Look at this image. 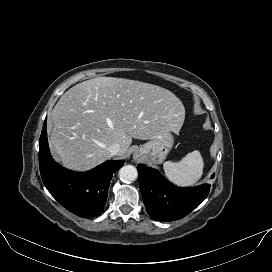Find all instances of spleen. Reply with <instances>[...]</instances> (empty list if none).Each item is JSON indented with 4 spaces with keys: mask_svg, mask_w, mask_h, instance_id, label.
<instances>
[{
    "mask_svg": "<svg viewBox=\"0 0 272 272\" xmlns=\"http://www.w3.org/2000/svg\"><path fill=\"white\" fill-rule=\"evenodd\" d=\"M204 162L198 150L188 153L179 162L166 161L163 169L166 177L178 186H191L203 174Z\"/></svg>",
    "mask_w": 272,
    "mask_h": 272,
    "instance_id": "3e777b00",
    "label": "spleen"
}]
</instances>
